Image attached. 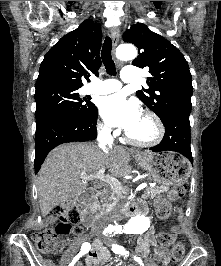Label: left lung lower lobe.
I'll return each instance as SVG.
<instances>
[{
	"instance_id": "0a47b994",
	"label": "left lung lower lobe",
	"mask_w": 221,
	"mask_h": 266,
	"mask_svg": "<svg viewBox=\"0 0 221 266\" xmlns=\"http://www.w3.org/2000/svg\"><path fill=\"white\" fill-rule=\"evenodd\" d=\"M165 134L160 144L151 147L153 152H177L185 156L193 163L191 153L190 121L189 114L176 112L170 114L163 122Z\"/></svg>"
}]
</instances>
